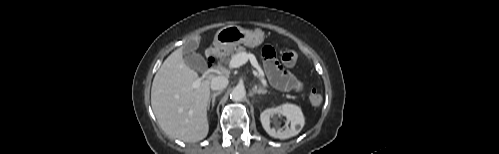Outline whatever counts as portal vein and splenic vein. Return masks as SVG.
<instances>
[{
	"instance_id": "18ae733b",
	"label": "portal vein and splenic vein",
	"mask_w": 499,
	"mask_h": 154,
	"mask_svg": "<svg viewBox=\"0 0 499 154\" xmlns=\"http://www.w3.org/2000/svg\"><path fill=\"white\" fill-rule=\"evenodd\" d=\"M248 60L251 61L252 65L258 70V72L254 71L255 75H259L261 77V81L263 85H266V79L264 77V72L261 69V67L258 65L255 57L252 54H247V53H238L232 57V59L229 62V67L230 68H238L242 65H244ZM201 79L196 80L193 84V88H197L200 85Z\"/></svg>"
}]
</instances>
